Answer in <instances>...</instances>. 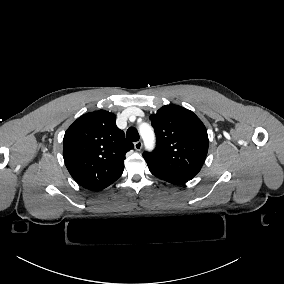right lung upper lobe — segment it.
I'll return each instance as SVG.
<instances>
[{
	"label": "right lung upper lobe",
	"instance_id": "1",
	"mask_svg": "<svg viewBox=\"0 0 284 284\" xmlns=\"http://www.w3.org/2000/svg\"><path fill=\"white\" fill-rule=\"evenodd\" d=\"M116 116L105 110L86 113L65 132L63 157L73 179L82 187L99 191L122 174L125 154L133 149Z\"/></svg>",
	"mask_w": 284,
	"mask_h": 284
}]
</instances>
